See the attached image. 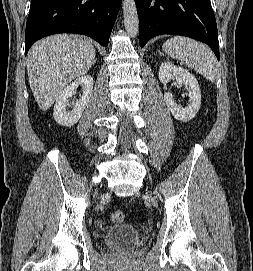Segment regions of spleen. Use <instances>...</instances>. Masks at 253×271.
Returning a JSON list of instances; mask_svg holds the SVG:
<instances>
[{
	"label": "spleen",
	"mask_w": 253,
	"mask_h": 271,
	"mask_svg": "<svg viewBox=\"0 0 253 271\" xmlns=\"http://www.w3.org/2000/svg\"><path fill=\"white\" fill-rule=\"evenodd\" d=\"M162 48L182 65L193 69L210 81L215 80L216 58L206 45L187 37L175 36L165 41Z\"/></svg>",
	"instance_id": "3e777b00"
}]
</instances>
